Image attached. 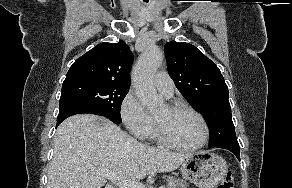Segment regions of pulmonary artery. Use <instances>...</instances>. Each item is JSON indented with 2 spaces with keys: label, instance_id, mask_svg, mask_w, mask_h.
I'll return each instance as SVG.
<instances>
[{
  "label": "pulmonary artery",
  "instance_id": "obj_1",
  "mask_svg": "<svg viewBox=\"0 0 292 188\" xmlns=\"http://www.w3.org/2000/svg\"><path fill=\"white\" fill-rule=\"evenodd\" d=\"M154 84L165 97L170 98L173 95L174 82L167 72H158L154 77Z\"/></svg>",
  "mask_w": 292,
  "mask_h": 188
}]
</instances>
